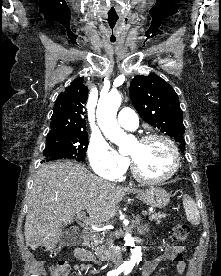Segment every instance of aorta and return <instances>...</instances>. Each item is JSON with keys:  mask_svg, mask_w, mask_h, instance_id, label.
<instances>
[{"mask_svg": "<svg viewBox=\"0 0 221 276\" xmlns=\"http://www.w3.org/2000/svg\"><path fill=\"white\" fill-rule=\"evenodd\" d=\"M120 93L114 91L105 96H101L97 105V122L105 137L114 144L122 147L127 139L124 130L121 129L117 122V111L121 105ZM126 246L131 247V258L128 264L134 265L142 259V252L139 246H135L134 239L130 234L124 237Z\"/></svg>", "mask_w": 221, "mask_h": 276, "instance_id": "1", "label": "aorta"}]
</instances>
